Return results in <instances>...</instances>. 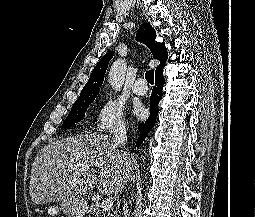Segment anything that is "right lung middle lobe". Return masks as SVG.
<instances>
[{"instance_id":"dd1d6c3e","label":"right lung middle lobe","mask_w":255,"mask_h":217,"mask_svg":"<svg viewBox=\"0 0 255 217\" xmlns=\"http://www.w3.org/2000/svg\"><path fill=\"white\" fill-rule=\"evenodd\" d=\"M98 92L81 94L73 104L72 109L62 124L63 128H68L82 120L89 105L94 101Z\"/></svg>"}]
</instances>
